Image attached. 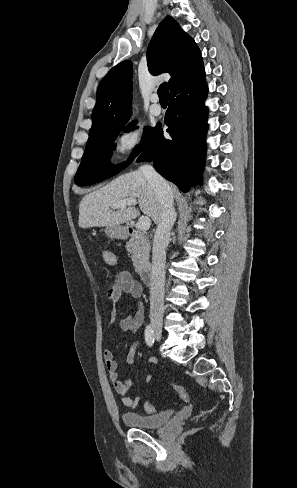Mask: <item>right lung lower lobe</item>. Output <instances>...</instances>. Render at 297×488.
I'll return each instance as SVG.
<instances>
[{
  "label": "right lung lower lobe",
  "instance_id": "right-lung-lower-lobe-1",
  "mask_svg": "<svg viewBox=\"0 0 297 488\" xmlns=\"http://www.w3.org/2000/svg\"><path fill=\"white\" fill-rule=\"evenodd\" d=\"M207 92L205 74L172 92L165 115L171 139H165L163 130L156 128L137 160L153 161L157 172L184 192L192 183H200L208 128Z\"/></svg>",
  "mask_w": 297,
  "mask_h": 488
}]
</instances>
